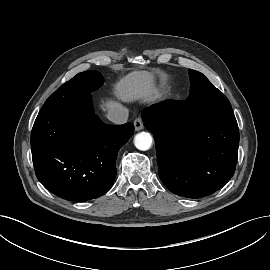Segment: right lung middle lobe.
<instances>
[{
	"label": "right lung middle lobe",
	"instance_id": "1",
	"mask_svg": "<svg viewBox=\"0 0 270 270\" xmlns=\"http://www.w3.org/2000/svg\"><path fill=\"white\" fill-rule=\"evenodd\" d=\"M103 77L97 71L90 70L77 74L54 92L43 106L64 103L69 100L89 96L91 91L99 88Z\"/></svg>",
	"mask_w": 270,
	"mask_h": 270
}]
</instances>
